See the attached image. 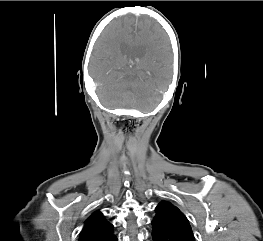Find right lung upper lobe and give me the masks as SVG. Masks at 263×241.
<instances>
[{"instance_id": "right-lung-upper-lobe-1", "label": "right lung upper lobe", "mask_w": 263, "mask_h": 241, "mask_svg": "<svg viewBox=\"0 0 263 241\" xmlns=\"http://www.w3.org/2000/svg\"><path fill=\"white\" fill-rule=\"evenodd\" d=\"M114 237L112 224L95 211L85 221L78 241H113Z\"/></svg>"}]
</instances>
